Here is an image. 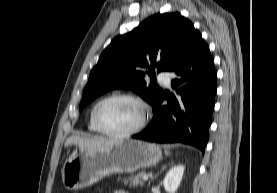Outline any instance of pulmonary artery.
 I'll use <instances>...</instances> for the list:
<instances>
[{"instance_id":"e3ab8cb5","label":"pulmonary artery","mask_w":277,"mask_h":193,"mask_svg":"<svg viewBox=\"0 0 277 193\" xmlns=\"http://www.w3.org/2000/svg\"><path fill=\"white\" fill-rule=\"evenodd\" d=\"M158 80L165 86L169 87L171 84V75L167 72H160L158 74Z\"/></svg>"}]
</instances>
